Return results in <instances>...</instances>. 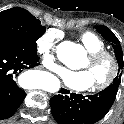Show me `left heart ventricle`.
<instances>
[{
    "label": "left heart ventricle",
    "instance_id": "left-heart-ventricle-1",
    "mask_svg": "<svg viewBox=\"0 0 124 124\" xmlns=\"http://www.w3.org/2000/svg\"><path fill=\"white\" fill-rule=\"evenodd\" d=\"M79 69L88 70L90 72L94 85L107 77L110 72V64L107 61L92 64L87 57Z\"/></svg>",
    "mask_w": 124,
    "mask_h": 124
}]
</instances>
